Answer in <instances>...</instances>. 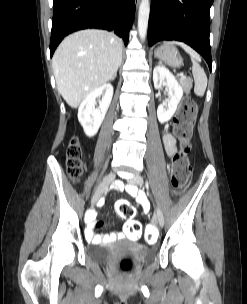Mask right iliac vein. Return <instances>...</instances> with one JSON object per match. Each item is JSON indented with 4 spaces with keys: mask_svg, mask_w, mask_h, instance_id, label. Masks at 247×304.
<instances>
[{
    "mask_svg": "<svg viewBox=\"0 0 247 304\" xmlns=\"http://www.w3.org/2000/svg\"><path fill=\"white\" fill-rule=\"evenodd\" d=\"M115 177V173H110L104 178L92 198V208L97 204L102 195L106 192L110 184L114 181Z\"/></svg>",
    "mask_w": 247,
    "mask_h": 304,
    "instance_id": "right-iliac-vein-1",
    "label": "right iliac vein"
}]
</instances>
